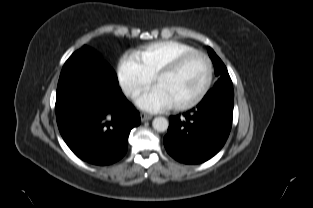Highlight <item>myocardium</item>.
<instances>
[{"mask_svg":"<svg viewBox=\"0 0 313 208\" xmlns=\"http://www.w3.org/2000/svg\"><path fill=\"white\" fill-rule=\"evenodd\" d=\"M196 56H200V57L204 58V60L206 61V64H207L206 81L204 83L203 88L201 89V91L199 92V94L195 98H193L192 100H190L186 103L173 105V108L176 110L191 109V108L195 107L196 105H198L206 97V95L208 94V92L211 88V85L213 82V77H214V69H213L212 60L210 59V57L206 53H204L202 51H199V50L190 51V52H186V53L178 56L171 63H169L168 65L161 68L155 74L154 81H155V83H157L162 77H164L166 75H170V74L178 71L187 61H189L190 59H192Z\"/></svg>","mask_w":313,"mask_h":208,"instance_id":"1","label":"myocardium"}]
</instances>
